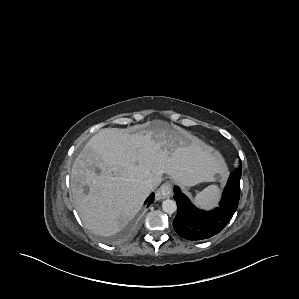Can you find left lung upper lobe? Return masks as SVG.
<instances>
[{"label":"left lung upper lobe","instance_id":"1","mask_svg":"<svg viewBox=\"0 0 299 299\" xmlns=\"http://www.w3.org/2000/svg\"><path fill=\"white\" fill-rule=\"evenodd\" d=\"M237 171L242 172V166H240L238 169H236Z\"/></svg>","mask_w":299,"mask_h":299}]
</instances>
